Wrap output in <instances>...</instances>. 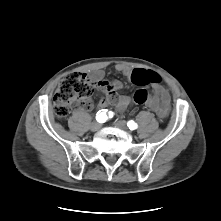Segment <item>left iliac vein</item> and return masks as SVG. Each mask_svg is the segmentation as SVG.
Returning <instances> with one entry per match:
<instances>
[{
	"label": "left iliac vein",
	"mask_w": 221,
	"mask_h": 221,
	"mask_svg": "<svg viewBox=\"0 0 221 221\" xmlns=\"http://www.w3.org/2000/svg\"><path fill=\"white\" fill-rule=\"evenodd\" d=\"M114 125H115V127L119 128L121 130L129 132L125 121H117V122H115Z\"/></svg>",
	"instance_id": "4c4485c4"
}]
</instances>
